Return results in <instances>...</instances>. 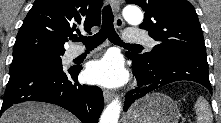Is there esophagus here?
I'll return each instance as SVG.
<instances>
[{
  "label": "esophagus",
  "instance_id": "obj_1",
  "mask_svg": "<svg viewBox=\"0 0 221 123\" xmlns=\"http://www.w3.org/2000/svg\"><path fill=\"white\" fill-rule=\"evenodd\" d=\"M113 10L115 12V25L117 28L121 29L124 27V21L120 15V1L119 0H111ZM103 97L105 102H109L113 97V93L109 90H103Z\"/></svg>",
  "mask_w": 221,
  "mask_h": 123
}]
</instances>
